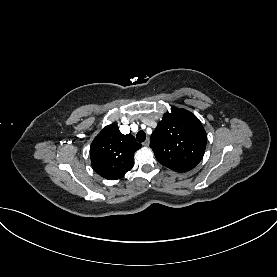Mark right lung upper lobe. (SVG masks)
Returning <instances> with one entry per match:
<instances>
[{"mask_svg":"<svg viewBox=\"0 0 277 277\" xmlns=\"http://www.w3.org/2000/svg\"><path fill=\"white\" fill-rule=\"evenodd\" d=\"M141 146L132 134L123 135L117 124L108 125L90 146L92 167L106 179H120L133 167L134 153Z\"/></svg>","mask_w":277,"mask_h":277,"instance_id":"right-lung-upper-lobe-1","label":"right lung upper lobe"}]
</instances>
